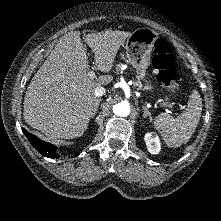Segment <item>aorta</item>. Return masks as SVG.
Here are the masks:
<instances>
[{"label": "aorta", "instance_id": "762f6f07", "mask_svg": "<svg viewBox=\"0 0 221 221\" xmlns=\"http://www.w3.org/2000/svg\"><path fill=\"white\" fill-rule=\"evenodd\" d=\"M113 112L120 117H126L130 114V105L128 102H121L113 106Z\"/></svg>", "mask_w": 221, "mask_h": 221}]
</instances>
